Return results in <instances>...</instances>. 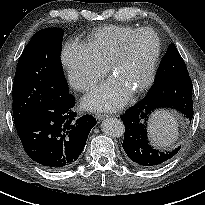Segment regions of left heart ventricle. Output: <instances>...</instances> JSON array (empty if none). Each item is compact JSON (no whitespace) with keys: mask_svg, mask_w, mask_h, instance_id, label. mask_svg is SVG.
Masks as SVG:
<instances>
[{"mask_svg":"<svg viewBox=\"0 0 205 205\" xmlns=\"http://www.w3.org/2000/svg\"><path fill=\"white\" fill-rule=\"evenodd\" d=\"M155 50L154 35L144 33L137 36L129 46L128 55L114 71V77L130 90L138 87L148 73Z\"/></svg>","mask_w":205,"mask_h":205,"instance_id":"left-heart-ventricle-1","label":"left heart ventricle"}]
</instances>
